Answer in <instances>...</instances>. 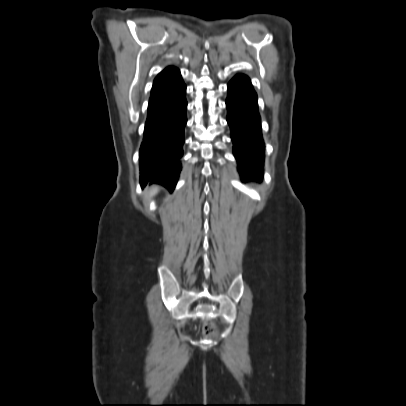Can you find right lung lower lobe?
I'll list each match as a JSON object with an SVG mask.
<instances>
[{
	"label": "right lung lower lobe",
	"mask_w": 406,
	"mask_h": 406,
	"mask_svg": "<svg viewBox=\"0 0 406 406\" xmlns=\"http://www.w3.org/2000/svg\"><path fill=\"white\" fill-rule=\"evenodd\" d=\"M185 92L178 69L171 67L167 74L154 80L139 155L143 185L154 179L169 190L176 186L187 122Z\"/></svg>",
	"instance_id": "right-lung-lower-lobe-1"
}]
</instances>
